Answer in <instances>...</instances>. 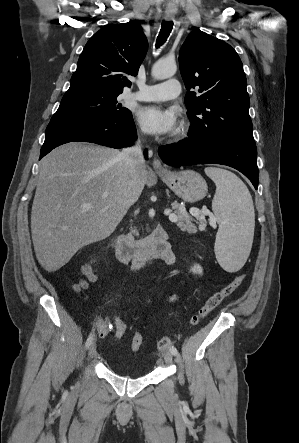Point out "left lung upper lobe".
<instances>
[{
    "mask_svg": "<svg viewBox=\"0 0 299 443\" xmlns=\"http://www.w3.org/2000/svg\"><path fill=\"white\" fill-rule=\"evenodd\" d=\"M188 90V136L202 140L253 139L250 100L242 62L227 43L200 30L191 32L179 53Z\"/></svg>",
    "mask_w": 299,
    "mask_h": 443,
    "instance_id": "5c2ea615",
    "label": "left lung upper lobe"
}]
</instances>
